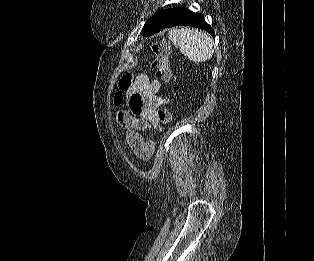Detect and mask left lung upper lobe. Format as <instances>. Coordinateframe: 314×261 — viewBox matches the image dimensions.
<instances>
[{
	"instance_id": "obj_1",
	"label": "left lung upper lobe",
	"mask_w": 314,
	"mask_h": 261,
	"mask_svg": "<svg viewBox=\"0 0 314 261\" xmlns=\"http://www.w3.org/2000/svg\"><path fill=\"white\" fill-rule=\"evenodd\" d=\"M179 8L159 10L145 24L143 36L148 37L158 32L176 14Z\"/></svg>"
}]
</instances>
